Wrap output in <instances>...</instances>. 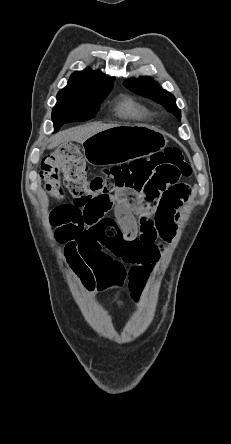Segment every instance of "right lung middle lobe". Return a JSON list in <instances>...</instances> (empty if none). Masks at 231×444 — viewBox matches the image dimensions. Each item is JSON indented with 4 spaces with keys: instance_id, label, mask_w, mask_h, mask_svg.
Instances as JSON below:
<instances>
[{
    "instance_id": "dd1d6c3e",
    "label": "right lung middle lobe",
    "mask_w": 231,
    "mask_h": 444,
    "mask_svg": "<svg viewBox=\"0 0 231 444\" xmlns=\"http://www.w3.org/2000/svg\"><path fill=\"white\" fill-rule=\"evenodd\" d=\"M111 89L92 93L60 91L52 111L55 130L57 131L64 123L93 118L98 111L99 103L106 98Z\"/></svg>"
}]
</instances>
